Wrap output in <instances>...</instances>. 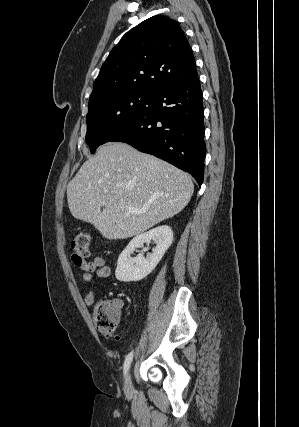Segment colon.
<instances>
[{
  "mask_svg": "<svg viewBox=\"0 0 299 427\" xmlns=\"http://www.w3.org/2000/svg\"><path fill=\"white\" fill-rule=\"evenodd\" d=\"M72 258L76 263H84L91 256L90 236L85 231L78 232L71 242ZM120 307L111 300H100L94 305L93 316L96 328L103 334H113L120 321Z\"/></svg>",
  "mask_w": 299,
  "mask_h": 427,
  "instance_id": "obj_1",
  "label": "colon"
}]
</instances>
